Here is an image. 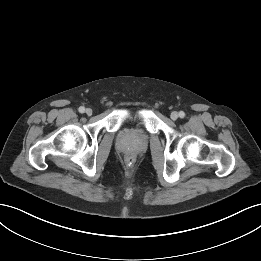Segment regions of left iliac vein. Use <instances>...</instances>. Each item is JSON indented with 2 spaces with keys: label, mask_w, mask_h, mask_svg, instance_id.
Masks as SVG:
<instances>
[{
  "label": "left iliac vein",
  "mask_w": 261,
  "mask_h": 261,
  "mask_svg": "<svg viewBox=\"0 0 261 261\" xmlns=\"http://www.w3.org/2000/svg\"><path fill=\"white\" fill-rule=\"evenodd\" d=\"M179 114L176 111H173L170 115L172 120H177L178 119Z\"/></svg>",
  "instance_id": "left-iliac-vein-1"
}]
</instances>
